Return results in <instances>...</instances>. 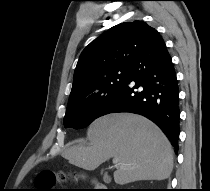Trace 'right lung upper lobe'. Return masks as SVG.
I'll return each mask as SVG.
<instances>
[{"mask_svg": "<svg viewBox=\"0 0 210 191\" xmlns=\"http://www.w3.org/2000/svg\"><path fill=\"white\" fill-rule=\"evenodd\" d=\"M159 33L142 21L123 22L92 41L81 53L70 98L87 89L103 72L129 67Z\"/></svg>", "mask_w": 210, "mask_h": 191, "instance_id": "obj_1", "label": "right lung upper lobe"}]
</instances>
